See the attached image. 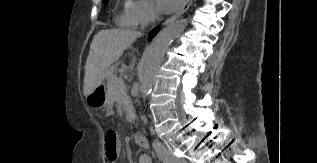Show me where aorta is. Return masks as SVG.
I'll return each mask as SVG.
<instances>
[{
  "instance_id": "762f6f07",
  "label": "aorta",
  "mask_w": 317,
  "mask_h": 163,
  "mask_svg": "<svg viewBox=\"0 0 317 163\" xmlns=\"http://www.w3.org/2000/svg\"><path fill=\"white\" fill-rule=\"evenodd\" d=\"M188 20H177L163 28L151 41L139 69L141 96L145 101L150 94L156 73L169 45L185 30Z\"/></svg>"
}]
</instances>
